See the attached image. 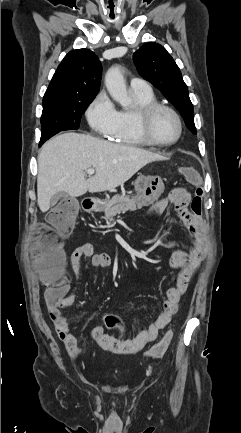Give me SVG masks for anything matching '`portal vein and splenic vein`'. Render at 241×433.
Instances as JSON below:
<instances>
[{"mask_svg": "<svg viewBox=\"0 0 241 433\" xmlns=\"http://www.w3.org/2000/svg\"><path fill=\"white\" fill-rule=\"evenodd\" d=\"M86 173H87L88 175H92V174L95 173V169H93V168H89V169L86 170Z\"/></svg>", "mask_w": 241, "mask_h": 433, "instance_id": "18ae733b", "label": "portal vein and splenic vein"}]
</instances>
